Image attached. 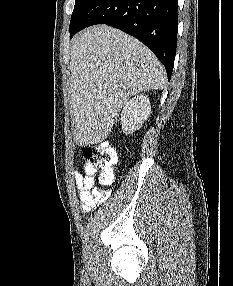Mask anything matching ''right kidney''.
<instances>
[{
	"mask_svg": "<svg viewBox=\"0 0 233 286\" xmlns=\"http://www.w3.org/2000/svg\"><path fill=\"white\" fill-rule=\"evenodd\" d=\"M151 113L150 100L145 95H137L123 107L121 113L122 130L131 134L138 130Z\"/></svg>",
	"mask_w": 233,
	"mask_h": 286,
	"instance_id": "right-kidney-1",
	"label": "right kidney"
}]
</instances>
